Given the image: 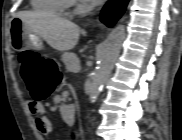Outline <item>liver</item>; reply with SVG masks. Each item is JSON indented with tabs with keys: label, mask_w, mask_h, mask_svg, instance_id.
Wrapping results in <instances>:
<instances>
[{
	"label": "liver",
	"mask_w": 182,
	"mask_h": 140,
	"mask_svg": "<svg viewBox=\"0 0 182 140\" xmlns=\"http://www.w3.org/2000/svg\"><path fill=\"white\" fill-rule=\"evenodd\" d=\"M18 17L29 30L38 34L55 50H71L78 42V25L58 15L47 12H21Z\"/></svg>",
	"instance_id": "liver-1"
}]
</instances>
